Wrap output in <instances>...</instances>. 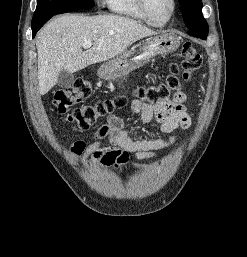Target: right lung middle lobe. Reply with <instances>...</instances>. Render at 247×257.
Masks as SVG:
<instances>
[{
	"label": "right lung middle lobe",
	"instance_id": "right-lung-middle-lobe-1",
	"mask_svg": "<svg viewBox=\"0 0 247 257\" xmlns=\"http://www.w3.org/2000/svg\"><path fill=\"white\" fill-rule=\"evenodd\" d=\"M94 7V0H37L32 23L56 14Z\"/></svg>",
	"mask_w": 247,
	"mask_h": 257
}]
</instances>
